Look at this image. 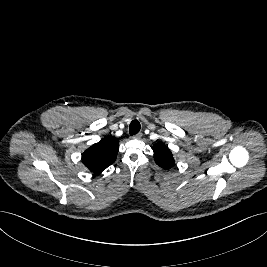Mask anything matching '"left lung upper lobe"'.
Masks as SVG:
<instances>
[{"mask_svg":"<svg viewBox=\"0 0 267 267\" xmlns=\"http://www.w3.org/2000/svg\"><path fill=\"white\" fill-rule=\"evenodd\" d=\"M154 159L158 166L163 169H170L174 166V158L171 151L163 143H156L153 148Z\"/></svg>","mask_w":267,"mask_h":267,"instance_id":"5c2ea615","label":"left lung upper lobe"}]
</instances>
